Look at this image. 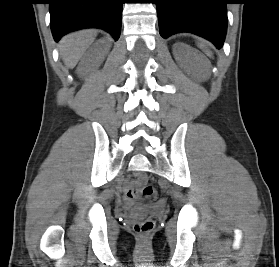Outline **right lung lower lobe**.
<instances>
[{
	"mask_svg": "<svg viewBox=\"0 0 279 267\" xmlns=\"http://www.w3.org/2000/svg\"><path fill=\"white\" fill-rule=\"evenodd\" d=\"M122 0H49L55 41L68 32L101 28L117 41L121 31Z\"/></svg>",
	"mask_w": 279,
	"mask_h": 267,
	"instance_id": "obj_1",
	"label": "right lung lower lobe"
}]
</instances>
